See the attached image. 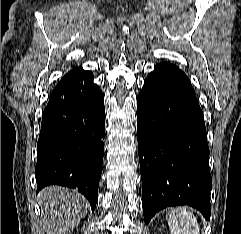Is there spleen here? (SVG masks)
I'll return each instance as SVG.
<instances>
[{
	"instance_id": "obj_1",
	"label": "spleen",
	"mask_w": 241,
	"mask_h": 234,
	"mask_svg": "<svg viewBox=\"0 0 241 234\" xmlns=\"http://www.w3.org/2000/svg\"><path fill=\"white\" fill-rule=\"evenodd\" d=\"M171 234H199L197 218L185 207H177L166 215Z\"/></svg>"
}]
</instances>
